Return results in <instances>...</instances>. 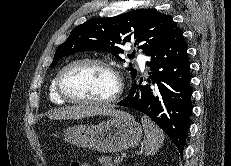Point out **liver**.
<instances>
[{
  "label": "liver",
  "mask_w": 231,
  "mask_h": 166,
  "mask_svg": "<svg viewBox=\"0 0 231 166\" xmlns=\"http://www.w3.org/2000/svg\"><path fill=\"white\" fill-rule=\"evenodd\" d=\"M123 113L110 107L68 106L55 109L49 113L50 119H81L84 117L104 115L116 117Z\"/></svg>",
  "instance_id": "obj_1"
}]
</instances>
